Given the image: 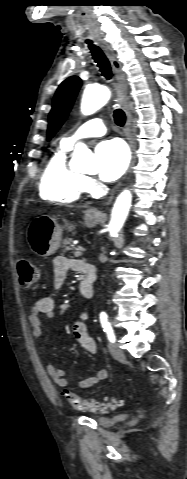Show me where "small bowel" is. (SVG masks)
Instances as JSON below:
<instances>
[{
  "label": "small bowel",
  "mask_w": 187,
  "mask_h": 479,
  "mask_svg": "<svg viewBox=\"0 0 187 479\" xmlns=\"http://www.w3.org/2000/svg\"><path fill=\"white\" fill-rule=\"evenodd\" d=\"M54 269V288L59 290L65 283L69 271L86 272L87 270H94V268L85 262L77 259H70L64 256L55 257L53 260ZM55 316V295H47L36 300L30 310L29 324L31 326V337L34 341H38L42 336L41 322L42 318H53ZM86 311H82L78 318L73 322L72 332L81 345V347L88 353L94 354L96 352V343L89 336L87 331ZM47 372L55 386L64 388L69 385L66 372L53 363L49 362L47 365ZM109 373L106 369H100L95 372L93 376L84 378L78 382V388L87 389L99 382L106 380Z\"/></svg>",
  "instance_id": "c3829d8e"
}]
</instances>
